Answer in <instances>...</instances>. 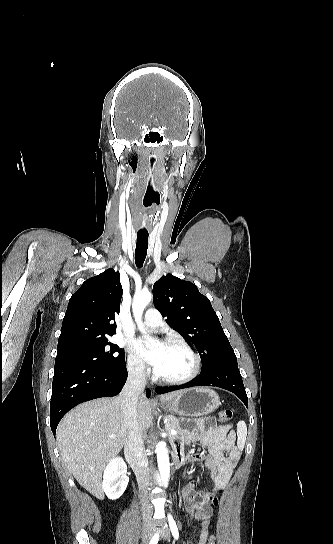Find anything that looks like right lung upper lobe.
<instances>
[{
    "label": "right lung upper lobe",
    "mask_w": 333,
    "mask_h": 544,
    "mask_svg": "<svg viewBox=\"0 0 333 544\" xmlns=\"http://www.w3.org/2000/svg\"><path fill=\"white\" fill-rule=\"evenodd\" d=\"M123 289L112 268L89 278L71 296L63 318L58 349L108 338L116 334Z\"/></svg>",
    "instance_id": "1"
}]
</instances>
